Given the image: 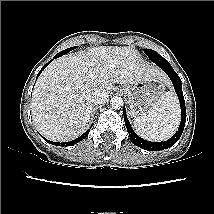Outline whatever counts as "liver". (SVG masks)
Segmentation results:
<instances>
[{
	"instance_id": "1",
	"label": "liver",
	"mask_w": 214,
	"mask_h": 214,
	"mask_svg": "<svg viewBox=\"0 0 214 214\" xmlns=\"http://www.w3.org/2000/svg\"><path fill=\"white\" fill-rule=\"evenodd\" d=\"M164 74L128 47L100 46L54 60L38 78L31 111L37 130L52 141L77 138L87 128L93 111L89 94L110 93L114 84L131 85Z\"/></svg>"
}]
</instances>
